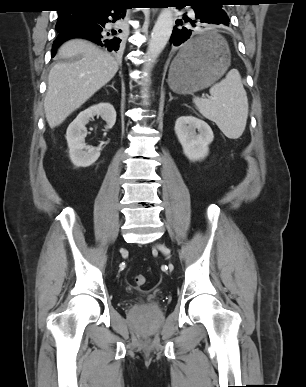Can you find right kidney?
Wrapping results in <instances>:
<instances>
[{
	"mask_svg": "<svg viewBox=\"0 0 306 387\" xmlns=\"http://www.w3.org/2000/svg\"><path fill=\"white\" fill-rule=\"evenodd\" d=\"M101 116L106 122V128L111 129L116 122V111L110 103H99L80 112L67 128L66 140L69 147V156L72 163L77 167H88L100 156V149L87 146L85 137L87 135L86 124L90 118Z\"/></svg>",
	"mask_w": 306,
	"mask_h": 387,
	"instance_id": "obj_1",
	"label": "right kidney"
}]
</instances>
